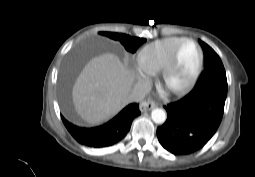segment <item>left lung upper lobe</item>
I'll return each mask as SVG.
<instances>
[{
  "label": "left lung upper lobe",
  "instance_id": "1",
  "mask_svg": "<svg viewBox=\"0 0 255 177\" xmlns=\"http://www.w3.org/2000/svg\"><path fill=\"white\" fill-rule=\"evenodd\" d=\"M199 43L204 52V67L199 81L196 85L207 86L217 85L227 88V78L224 66L216 52L206 43L199 40Z\"/></svg>",
  "mask_w": 255,
  "mask_h": 177
}]
</instances>
